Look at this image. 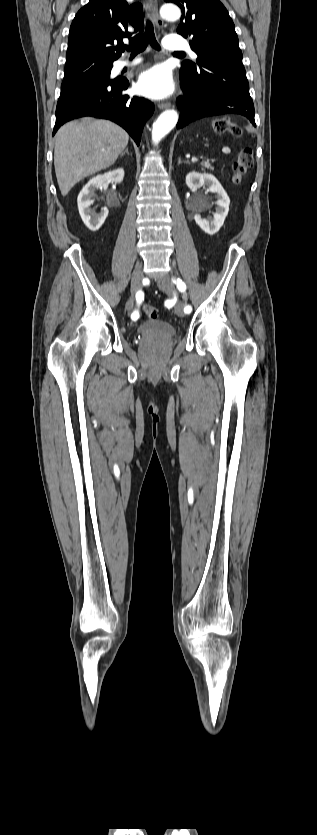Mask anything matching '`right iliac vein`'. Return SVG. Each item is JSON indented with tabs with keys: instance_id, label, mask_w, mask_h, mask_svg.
Listing matches in <instances>:
<instances>
[{
	"instance_id": "obj_1",
	"label": "right iliac vein",
	"mask_w": 317,
	"mask_h": 835,
	"mask_svg": "<svg viewBox=\"0 0 317 835\" xmlns=\"http://www.w3.org/2000/svg\"><path fill=\"white\" fill-rule=\"evenodd\" d=\"M142 279H143V272L142 267L139 265L135 268L132 280H131V292L132 294L137 293L142 287ZM134 302V299L131 297L126 303V309L129 310L128 304L131 303V306Z\"/></svg>"
}]
</instances>
